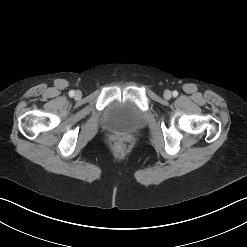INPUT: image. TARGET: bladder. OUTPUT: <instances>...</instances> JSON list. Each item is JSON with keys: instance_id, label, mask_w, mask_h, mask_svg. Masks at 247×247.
<instances>
[{"instance_id": "31cf9c89", "label": "bladder", "mask_w": 247, "mask_h": 247, "mask_svg": "<svg viewBox=\"0 0 247 247\" xmlns=\"http://www.w3.org/2000/svg\"><path fill=\"white\" fill-rule=\"evenodd\" d=\"M102 126L111 133H133L145 125L142 111L129 100H113L105 108Z\"/></svg>"}]
</instances>
